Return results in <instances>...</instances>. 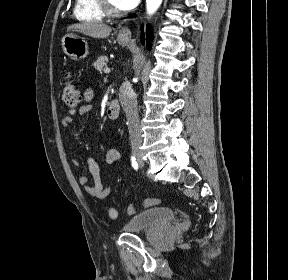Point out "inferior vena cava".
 <instances>
[{
  "label": "inferior vena cava",
  "mask_w": 288,
  "mask_h": 280,
  "mask_svg": "<svg viewBox=\"0 0 288 280\" xmlns=\"http://www.w3.org/2000/svg\"><path fill=\"white\" fill-rule=\"evenodd\" d=\"M121 96L118 100L121 103V109L125 110L127 126H129V141L132 143L134 152H131V157L140 159L142 150H137L144 143L142 134V125L139 119V105H135L137 101V93L132 92L128 81H121L119 86Z\"/></svg>",
  "instance_id": "inferior-vena-cava-1"
}]
</instances>
